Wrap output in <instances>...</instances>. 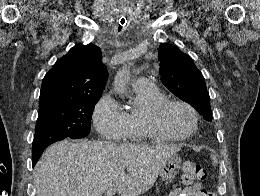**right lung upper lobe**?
I'll return each instance as SVG.
<instances>
[{
  "mask_svg": "<svg viewBox=\"0 0 260 196\" xmlns=\"http://www.w3.org/2000/svg\"><path fill=\"white\" fill-rule=\"evenodd\" d=\"M108 74L100 48L76 45L45 75L39 106L82 96H101Z\"/></svg>",
  "mask_w": 260,
  "mask_h": 196,
  "instance_id": "cb5924a9",
  "label": "right lung upper lobe"
}]
</instances>
